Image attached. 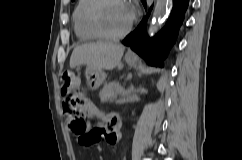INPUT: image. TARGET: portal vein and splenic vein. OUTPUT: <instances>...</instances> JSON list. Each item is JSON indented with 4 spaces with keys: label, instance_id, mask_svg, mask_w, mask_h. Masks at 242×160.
<instances>
[{
    "label": "portal vein and splenic vein",
    "instance_id": "18ae733b",
    "mask_svg": "<svg viewBox=\"0 0 242 160\" xmlns=\"http://www.w3.org/2000/svg\"><path fill=\"white\" fill-rule=\"evenodd\" d=\"M129 93H128V91H124L123 93H122V97H125V96H127ZM123 101H125V99L124 98H121L120 100H118L117 102L118 103H121V102H123Z\"/></svg>",
    "mask_w": 242,
    "mask_h": 160
}]
</instances>
